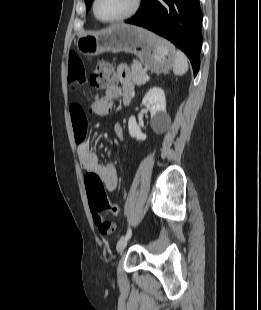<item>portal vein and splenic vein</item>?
Segmentation results:
<instances>
[{
  "instance_id": "18ae733b",
  "label": "portal vein and splenic vein",
  "mask_w": 261,
  "mask_h": 310,
  "mask_svg": "<svg viewBox=\"0 0 261 310\" xmlns=\"http://www.w3.org/2000/svg\"><path fill=\"white\" fill-rule=\"evenodd\" d=\"M144 79L147 81V80L150 79V77H149L148 75H145V76H144Z\"/></svg>"
}]
</instances>
